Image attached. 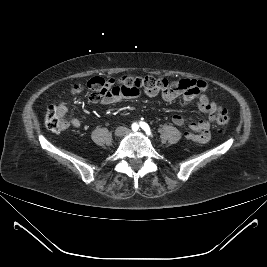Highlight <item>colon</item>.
<instances>
[{
  "mask_svg": "<svg viewBox=\"0 0 267 267\" xmlns=\"http://www.w3.org/2000/svg\"><path fill=\"white\" fill-rule=\"evenodd\" d=\"M116 85L121 91L129 96H137L141 91L152 94L164 91H175L183 88L181 81H169L165 78H157L154 76H124L116 80ZM216 123L220 130L228 123V115L226 111L220 110L216 113ZM46 127L53 132H60L65 129L62 119L57 115L56 108L50 106L45 116Z\"/></svg>",
  "mask_w": 267,
  "mask_h": 267,
  "instance_id": "5ec220e1",
  "label": "colon"
}]
</instances>
